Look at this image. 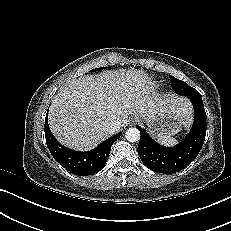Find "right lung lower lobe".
<instances>
[{
    "mask_svg": "<svg viewBox=\"0 0 231 231\" xmlns=\"http://www.w3.org/2000/svg\"><path fill=\"white\" fill-rule=\"evenodd\" d=\"M121 134L118 133L106 139L91 151L77 152L59 144L50 131L47 114L45 118V138L50 153L64 168L78 176H88L99 172L108 160L112 144Z\"/></svg>",
    "mask_w": 231,
    "mask_h": 231,
    "instance_id": "98d812e1",
    "label": "right lung lower lobe"
}]
</instances>
